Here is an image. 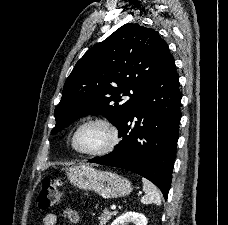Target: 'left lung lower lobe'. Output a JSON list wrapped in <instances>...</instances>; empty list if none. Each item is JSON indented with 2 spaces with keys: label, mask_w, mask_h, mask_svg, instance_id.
Instances as JSON below:
<instances>
[{
  "label": "left lung lower lobe",
  "mask_w": 228,
  "mask_h": 225,
  "mask_svg": "<svg viewBox=\"0 0 228 225\" xmlns=\"http://www.w3.org/2000/svg\"><path fill=\"white\" fill-rule=\"evenodd\" d=\"M180 104L179 77L172 57L117 127L121 140L113 152L89 162L137 173L153 182L166 200L179 137ZM134 117L138 121L130 127Z\"/></svg>",
  "instance_id": "obj_1"
}]
</instances>
